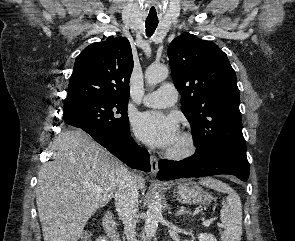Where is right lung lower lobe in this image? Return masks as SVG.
<instances>
[{"label": "right lung lower lobe", "mask_w": 295, "mask_h": 241, "mask_svg": "<svg viewBox=\"0 0 295 241\" xmlns=\"http://www.w3.org/2000/svg\"><path fill=\"white\" fill-rule=\"evenodd\" d=\"M91 137L133 169L150 171L149 154L130 137V131L117 134L97 127L81 128Z\"/></svg>", "instance_id": "right-lung-lower-lobe-1"}]
</instances>
